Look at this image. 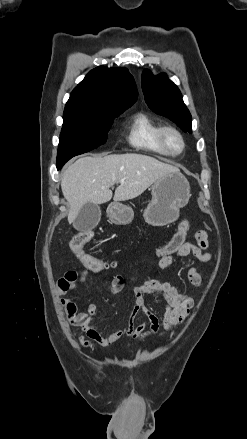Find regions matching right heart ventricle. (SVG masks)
<instances>
[{"instance_id": "obj_1", "label": "right heart ventricle", "mask_w": 247, "mask_h": 439, "mask_svg": "<svg viewBox=\"0 0 247 439\" xmlns=\"http://www.w3.org/2000/svg\"><path fill=\"white\" fill-rule=\"evenodd\" d=\"M160 128V123L151 115L137 112L130 119L127 141L136 149L166 155L159 142Z\"/></svg>"}]
</instances>
